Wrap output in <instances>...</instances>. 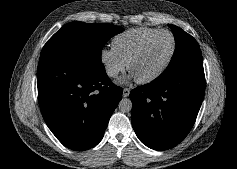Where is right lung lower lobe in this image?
Masks as SVG:
<instances>
[{
	"label": "right lung lower lobe",
	"instance_id": "obj_1",
	"mask_svg": "<svg viewBox=\"0 0 237 169\" xmlns=\"http://www.w3.org/2000/svg\"><path fill=\"white\" fill-rule=\"evenodd\" d=\"M38 101L42 116L66 147L83 151L103 138L108 121L122 98L102 62L40 58Z\"/></svg>",
	"mask_w": 237,
	"mask_h": 169
}]
</instances>
